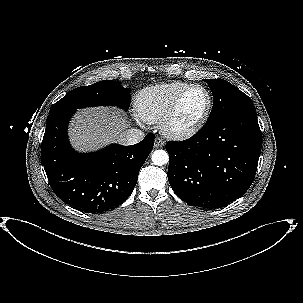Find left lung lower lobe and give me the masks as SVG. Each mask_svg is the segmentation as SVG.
I'll use <instances>...</instances> for the list:
<instances>
[{"mask_svg":"<svg viewBox=\"0 0 303 303\" xmlns=\"http://www.w3.org/2000/svg\"><path fill=\"white\" fill-rule=\"evenodd\" d=\"M261 147L256 112L206 122L190 139L166 144L169 183L189 205L221 208L249 189Z\"/></svg>","mask_w":303,"mask_h":303,"instance_id":"obj_1","label":"left lung lower lobe"}]
</instances>
